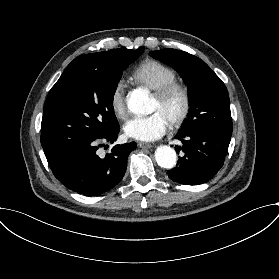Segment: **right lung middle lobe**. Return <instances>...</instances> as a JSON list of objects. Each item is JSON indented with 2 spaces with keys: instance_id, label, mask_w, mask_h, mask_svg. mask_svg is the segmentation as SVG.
Instances as JSON below:
<instances>
[{
  "instance_id": "1",
  "label": "right lung middle lobe",
  "mask_w": 279,
  "mask_h": 279,
  "mask_svg": "<svg viewBox=\"0 0 279 279\" xmlns=\"http://www.w3.org/2000/svg\"><path fill=\"white\" fill-rule=\"evenodd\" d=\"M143 50H121L104 67L75 59L51 88L41 123L45 156L77 142L103 137L118 125L113 96L122 71Z\"/></svg>"
}]
</instances>
